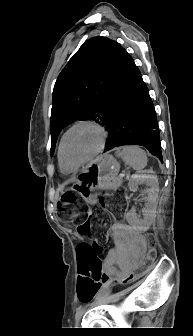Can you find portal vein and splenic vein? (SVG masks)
Instances as JSON below:
<instances>
[{"mask_svg": "<svg viewBox=\"0 0 193 336\" xmlns=\"http://www.w3.org/2000/svg\"><path fill=\"white\" fill-rule=\"evenodd\" d=\"M124 176H125V174H124V173H121V174H120V177H121V178H123Z\"/></svg>", "mask_w": 193, "mask_h": 336, "instance_id": "portal-vein-and-splenic-vein-1", "label": "portal vein and splenic vein"}]
</instances>
